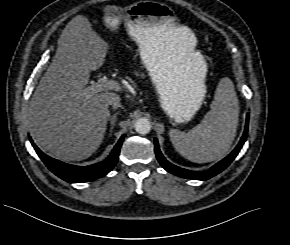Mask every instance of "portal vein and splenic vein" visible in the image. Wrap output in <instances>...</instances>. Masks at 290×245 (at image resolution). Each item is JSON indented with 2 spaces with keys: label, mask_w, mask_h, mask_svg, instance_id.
<instances>
[{
  "label": "portal vein and splenic vein",
  "mask_w": 290,
  "mask_h": 245,
  "mask_svg": "<svg viewBox=\"0 0 290 245\" xmlns=\"http://www.w3.org/2000/svg\"><path fill=\"white\" fill-rule=\"evenodd\" d=\"M114 83L112 81H108L107 79H100L97 84L91 86V90L95 92H100L104 90H110L114 88Z\"/></svg>",
  "instance_id": "portal-vein-and-splenic-vein-1"
}]
</instances>
